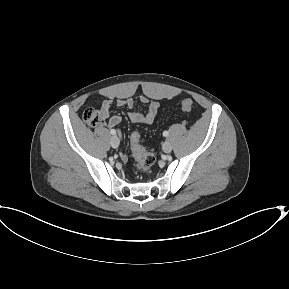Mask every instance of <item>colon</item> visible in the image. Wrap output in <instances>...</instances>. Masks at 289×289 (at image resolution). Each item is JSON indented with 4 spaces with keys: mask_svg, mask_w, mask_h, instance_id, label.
<instances>
[{
    "mask_svg": "<svg viewBox=\"0 0 289 289\" xmlns=\"http://www.w3.org/2000/svg\"><path fill=\"white\" fill-rule=\"evenodd\" d=\"M193 106V101L190 98H186L181 102V109L184 112H188L191 110ZM106 115L102 110L87 107L83 111V119L84 121L92 126L96 127L101 125L104 122ZM131 146L133 154L136 158V166L137 170L142 174L150 173L155 161L156 157L152 152L146 151L140 144V137L138 133H133L131 135Z\"/></svg>",
    "mask_w": 289,
    "mask_h": 289,
    "instance_id": "colon-1",
    "label": "colon"
}]
</instances>
